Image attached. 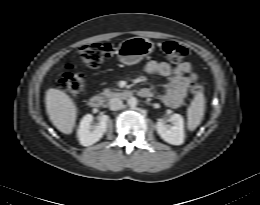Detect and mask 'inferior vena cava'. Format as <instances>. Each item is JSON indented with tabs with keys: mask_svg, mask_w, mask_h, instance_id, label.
<instances>
[{
	"mask_svg": "<svg viewBox=\"0 0 260 205\" xmlns=\"http://www.w3.org/2000/svg\"><path fill=\"white\" fill-rule=\"evenodd\" d=\"M123 107V102L119 98H112L109 101L110 110L116 111L120 110Z\"/></svg>",
	"mask_w": 260,
	"mask_h": 205,
	"instance_id": "inferior-vena-cava-1",
	"label": "inferior vena cava"
}]
</instances>
